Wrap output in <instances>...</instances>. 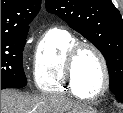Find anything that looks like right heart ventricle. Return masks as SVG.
<instances>
[{
  "label": "right heart ventricle",
  "mask_w": 123,
  "mask_h": 113,
  "mask_svg": "<svg viewBox=\"0 0 123 113\" xmlns=\"http://www.w3.org/2000/svg\"><path fill=\"white\" fill-rule=\"evenodd\" d=\"M77 42L74 35L62 28L45 32L37 45L33 63V79L40 91L81 97L69 84L64 67L68 52Z\"/></svg>",
  "instance_id": "e07e8e85"
}]
</instances>
